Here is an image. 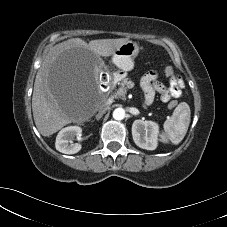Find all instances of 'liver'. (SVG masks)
<instances>
[{
    "label": "liver",
    "mask_w": 227,
    "mask_h": 227,
    "mask_svg": "<svg viewBox=\"0 0 227 227\" xmlns=\"http://www.w3.org/2000/svg\"><path fill=\"white\" fill-rule=\"evenodd\" d=\"M128 38L97 39L89 43L68 39L49 48L37 72L32 96L35 125L43 136H50L78 120L81 97L98 86L99 57L111 56ZM68 73L63 82L62 77Z\"/></svg>",
    "instance_id": "obj_1"
}]
</instances>
